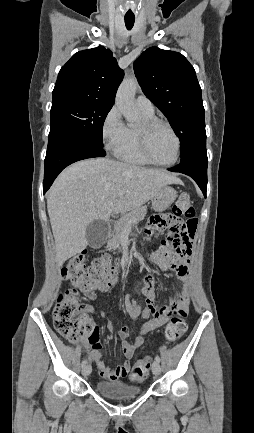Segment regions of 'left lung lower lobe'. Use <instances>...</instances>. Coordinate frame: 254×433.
Instances as JSON below:
<instances>
[{
	"mask_svg": "<svg viewBox=\"0 0 254 433\" xmlns=\"http://www.w3.org/2000/svg\"><path fill=\"white\" fill-rule=\"evenodd\" d=\"M207 166L208 160H191L185 163H180L176 167L169 169V171L183 173L192 177L206 198Z\"/></svg>",
	"mask_w": 254,
	"mask_h": 433,
	"instance_id": "1",
	"label": "left lung lower lobe"
}]
</instances>
